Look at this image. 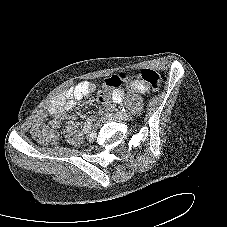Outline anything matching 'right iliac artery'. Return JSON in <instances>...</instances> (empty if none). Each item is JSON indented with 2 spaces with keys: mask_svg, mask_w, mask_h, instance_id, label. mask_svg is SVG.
Returning <instances> with one entry per match:
<instances>
[{
  "mask_svg": "<svg viewBox=\"0 0 227 227\" xmlns=\"http://www.w3.org/2000/svg\"><path fill=\"white\" fill-rule=\"evenodd\" d=\"M92 122H93L92 117L87 118V120L85 121V123L83 125V129H82L84 133H88L89 132V130L92 127Z\"/></svg>",
  "mask_w": 227,
  "mask_h": 227,
  "instance_id": "right-iliac-artery-1",
  "label": "right iliac artery"
}]
</instances>
